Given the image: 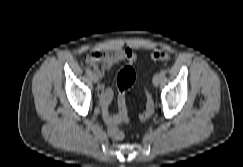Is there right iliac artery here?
I'll use <instances>...</instances> for the list:
<instances>
[{
	"mask_svg": "<svg viewBox=\"0 0 243 167\" xmlns=\"http://www.w3.org/2000/svg\"><path fill=\"white\" fill-rule=\"evenodd\" d=\"M86 73H87V74L92 73L91 69H90V68H86Z\"/></svg>",
	"mask_w": 243,
	"mask_h": 167,
	"instance_id": "1",
	"label": "right iliac artery"
}]
</instances>
